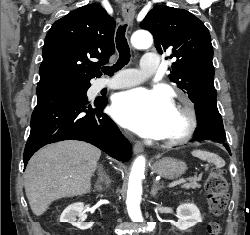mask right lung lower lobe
Returning a JSON list of instances; mask_svg holds the SVG:
<instances>
[{
	"label": "right lung lower lobe",
	"mask_w": 250,
	"mask_h": 235,
	"mask_svg": "<svg viewBox=\"0 0 250 235\" xmlns=\"http://www.w3.org/2000/svg\"><path fill=\"white\" fill-rule=\"evenodd\" d=\"M90 84H80L37 94L31 116V132L24 150V166L46 144L81 140L95 145L111 157L127 161L131 146L116 124L103 113L106 99L90 102Z\"/></svg>",
	"instance_id": "obj_1"
}]
</instances>
